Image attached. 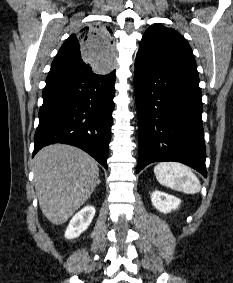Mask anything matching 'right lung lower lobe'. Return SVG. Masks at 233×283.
Masks as SVG:
<instances>
[{
	"instance_id": "obj_1",
	"label": "right lung lower lobe",
	"mask_w": 233,
	"mask_h": 283,
	"mask_svg": "<svg viewBox=\"0 0 233 283\" xmlns=\"http://www.w3.org/2000/svg\"><path fill=\"white\" fill-rule=\"evenodd\" d=\"M114 84L115 70L48 75L33 156L46 145L65 143L83 149L107 169Z\"/></svg>"
}]
</instances>
